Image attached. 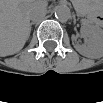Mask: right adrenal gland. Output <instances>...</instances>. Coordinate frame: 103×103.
<instances>
[{"mask_svg": "<svg viewBox=\"0 0 103 103\" xmlns=\"http://www.w3.org/2000/svg\"><path fill=\"white\" fill-rule=\"evenodd\" d=\"M34 24H35L34 22L30 23V31H31L32 25H34Z\"/></svg>", "mask_w": 103, "mask_h": 103, "instance_id": "2a0ac1e0", "label": "right adrenal gland"}]
</instances>
